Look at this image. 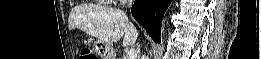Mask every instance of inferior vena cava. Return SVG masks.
Listing matches in <instances>:
<instances>
[{
    "instance_id": "inferior-vena-cava-1",
    "label": "inferior vena cava",
    "mask_w": 261,
    "mask_h": 59,
    "mask_svg": "<svg viewBox=\"0 0 261 59\" xmlns=\"http://www.w3.org/2000/svg\"><path fill=\"white\" fill-rule=\"evenodd\" d=\"M132 2H133V0H129V7H131L132 6ZM142 59H148V57H143Z\"/></svg>"
}]
</instances>
